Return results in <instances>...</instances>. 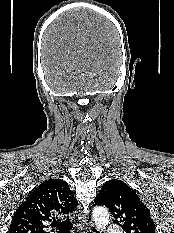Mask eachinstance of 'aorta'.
Here are the masks:
<instances>
[{
  "instance_id": "aorta-1",
  "label": "aorta",
  "mask_w": 174,
  "mask_h": 233,
  "mask_svg": "<svg viewBox=\"0 0 174 233\" xmlns=\"http://www.w3.org/2000/svg\"><path fill=\"white\" fill-rule=\"evenodd\" d=\"M93 220L96 226L100 229H105L110 222L109 211L104 207H95L92 212Z\"/></svg>"
}]
</instances>
